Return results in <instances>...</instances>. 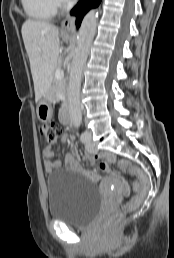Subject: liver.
Segmentation results:
<instances>
[{
  "mask_svg": "<svg viewBox=\"0 0 174 258\" xmlns=\"http://www.w3.org/2000/svg\"><path fill=\"white\" fill-rule=\"evenodd\" d=\"M21 32L30 61L37 103L51 88L59 58V30L50 23L28 19L22 25Z\"/></svg>",
  "mask_w": 174,
  "mask_h": 258,
  "instance_id": "1",
  "label": "liver"
}]
</instances>
